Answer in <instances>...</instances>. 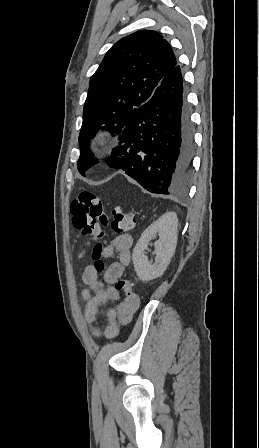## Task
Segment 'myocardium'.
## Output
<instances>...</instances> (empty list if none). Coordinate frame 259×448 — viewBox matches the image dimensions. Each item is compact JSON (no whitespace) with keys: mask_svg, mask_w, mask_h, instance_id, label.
<instances>
[{"mask_svg":"<svg viewBox=\"0 0 259 448\" xmlns=\"http://www.w3.org/2000/svg\"><path fill=\"white\" fill-rule=\"evenodd\" d=\"M109 137H110L109 131L107 129L100 128L92 134L90 141L91 146L93 148H102L108 143ZM101 154L102 153L100 152H94L92 153V156L100 157L102 156Z\"/></svg>","mask_w":259,"mask_h":448,"instance_id":"f54148a6","label":"myocardium"}]
</instances>
